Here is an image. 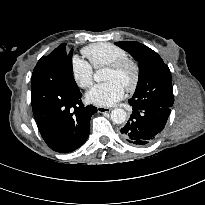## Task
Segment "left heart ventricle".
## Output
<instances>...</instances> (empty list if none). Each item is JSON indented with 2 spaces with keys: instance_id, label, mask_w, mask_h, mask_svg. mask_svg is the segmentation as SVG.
Listing matches in <instances>:
<instances>
[{
  "instance_id": "obj_1",
  "label": "left heart ventricle",
  "mask_w": 205,
  "mask_h": 205,
  "mask_svg": "<svg viewBox=\"0 0 205 205\" xmlns=\"http://www.w3.org/2000/svg\"><path fill=\"white\" fill-rule=\"evenodd\" d=\"M131 77H132V71L130 68H125L119 72L105 69L103 80L105 81L115 80L125 87L127 83L131 80Z\"/></svg>"
}]
</instances>
